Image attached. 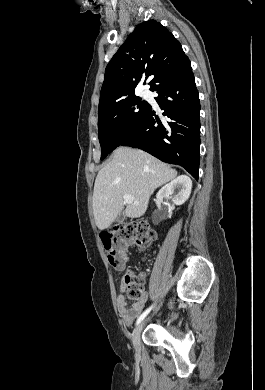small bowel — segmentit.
<instances>
[{
  "instance_id": "obj_1",
  "label": "small bowel",
  "mask_w": 265,
  "mask_h": 390,
  "mask_svg": "<svg viewBox=\"0 0 265 390\" xmlns=\"http://www.w3.org/2000/svg\"><path fill=\"white\" fill-rule=\"evenodd\" d=\"M125 290L126 285L123 281L118 289L119 294L117 297V307L122 321L125 324L130 325L143 310L147 302L148 296L144 295L140 300L128 307L124 297Z\"/></svg>"
}]
</instances>
